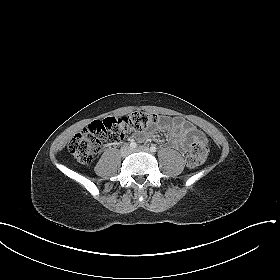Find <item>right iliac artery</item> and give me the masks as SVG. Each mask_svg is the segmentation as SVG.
<instances>
[{
  "label": "right iliac artery",
  "instance_id": "1",
  "mask_svg": "<svg viewBox=\"0 0 280 280\" xmlns=\"http://www.w3.org/2000/svg\"><path fill=\"white\" fill-rule=\"evenodd\" d=\"M137 147V144L134 141H131L130 148L134 149Z\"/></svg>",
  "mask_w": 280,
  "mask_h": 280
}]
</instances>
